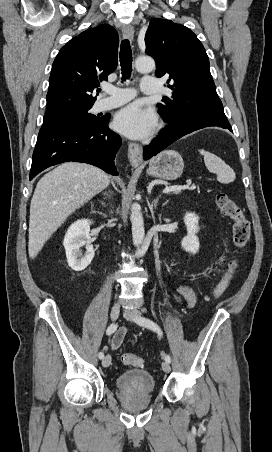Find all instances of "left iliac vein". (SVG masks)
<instances>
[{
  "mask_svg": "<svg viewBox=\"0 0 272 452\" xmlns=\"http://www.w3.org/2000/svg\"><path fill=\"white\" fill-rule=\"evenodd\" d=\"M124 317L129 321H136V318L141 316L140 311L136 309L125 310ZM162 369L165 373H169L171 371L170 364L167 361L162 362Z\"/></svg>",
  "mask_w": 272,
  "mask_h": 452,
  "instance_id": "obj_1",
  "label": "left iliac vein"
}]
</instances>
